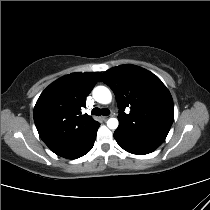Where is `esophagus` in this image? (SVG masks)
<instances>
[{
	"label": "esophagus",
	"mask_w": 210,
	"mask_h": 210,
	"mask_svg": "<svg viewBox=\"0 0 210 210\" xmlns=\"http://www.w3.org/2000/svg\"><path fill=\"white\" fill-rule=\"evenodd\" d=\"M108 118H109L108 116H102V117H101V119H102L103 121H106Z\"/></svg>",
	"instance_id": "esophagus-1"
}]
</instances>
